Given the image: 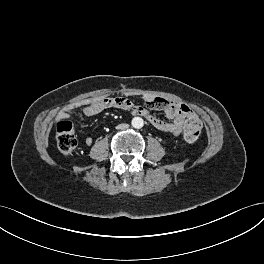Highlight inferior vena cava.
<instances>
[{
    "mask_svg": "<svg viewBox=\"0 0 264 264\" xmlns=\"http://www.w3.org/2000/svg\"><path fill=\"white\" fill-rule=\"evenodd\" d=\"M129 127V125L128 124H119L116 128L117 129H119V130H124V129H126V128H128Z\"/></svg>",
    "mask_w": 264,
    "mask_h": 264,
    "instance_id": "obj_1",
    "label": "inferior vena cava"
}]
</instances>
